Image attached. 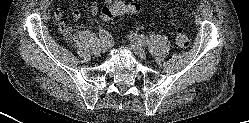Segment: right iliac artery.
Listing matches in <instances>:
<instances>
[{
    "label": "right iliac artery",
    "instance_id": "obj_1",
    "mask_svg": "<svg viewBox=\"0 0 249 123\" xmlns=\"http://www.w3.org/2000/svg\"><path fill=\"white\" fill-rule=\"evenodd\" d=\"M99 36L101 38V41L104 43H109L111 41V36L108 31L105 29H100Z\"/></svg>",
    "mask_w": 249,
    "mask_h": 123
}]
</instances>
